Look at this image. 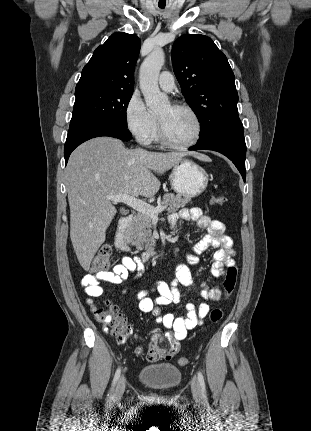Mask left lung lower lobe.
Returning a JSON list of instances; mask_svg holds the SVG:
<instances>
[{
	"label": "left lung lower lobe",
	"mask_w": 311,
	"mask_h": 431,
	"mask_svg": "<svg viewBox=\"0 0 311 431\" xmlns=\"http://www.w3.org/2000/svg\"><path fill=\"white\" fill-rule=\"evenodd\" d=\"M189 150H213L222 153L235 164L245 182L246 144L241 122L222 127L208 138L198 141Z\"/></svg>",
	"instance_id": "left-lung-lower-lobe-1"
}]
</instances>
